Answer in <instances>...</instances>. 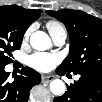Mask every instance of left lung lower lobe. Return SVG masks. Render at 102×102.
<instances>
[{"label":"left lung lower lobe","instance_id":"obj_1","mask_svg":"<svg viewBox=\"0 0 102 102\" xmlns=\"http://www.w3.org/2000/svg\"><path fill=\"white\" fill-rule=\"evenodd\" d=\"M58 74L64 75L58 70ZM78 81L67 86V92L56 97L54 102H101L102 101V73H80Z\"/></svg>","mask_w":102,"mask_h":102}]
</instances>
